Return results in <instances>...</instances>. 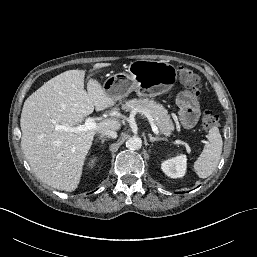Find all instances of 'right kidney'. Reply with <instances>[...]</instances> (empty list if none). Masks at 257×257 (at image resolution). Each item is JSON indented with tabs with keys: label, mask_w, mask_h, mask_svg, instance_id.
Here are the masks:
<instances>
[{
	"label": "right kidney",
	"mask_w": 257,
	"mask_h": 257,
	"mask_svg": "<svg viewBox=\"0 0 257 257\" xmlns=\"http://www.w3.org/2000/svg\"><path fill=\"white\" fill-rule=\"evenodd\" d=\"M95 161H96V158L94 157L93 159H91V162L89 163V165L92 167Z\"/></svg>",
	"instance_id": "ca27d5eb"
}]
</instances>
